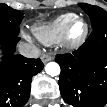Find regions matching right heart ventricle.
<instances>
[{
    "mask_svg": "<svg viewBox=\"0 0 107 107\" xmlns=\"http://www.w3.org/2000/svg\"><path fill=\"white\" fill-rule=\"evenodd\" d=\"M76 16L74 13L59 15L52 21L35 25L32 28L37 40L45 45H53L61 41L67 24Z\"/></svg>",
    "mask_w": 107,
    "mask_h": 107,
    "instance_id": "obj_1",
    "label": "right heart ventricle"
}]
</instances>
